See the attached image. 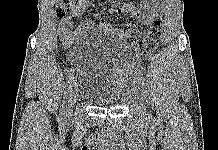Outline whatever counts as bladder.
<instances>
[{
  "instance_id": "31cf9c89",
  "label": "bladder",
  "mask_w": 218,
  "mask_h": 150,
  "mask_svg": "<svg viewBox=\"0 0 218 150\" xmlns=\"http://www.w3.org/2000/svg\"><path fill=\"white\" fill-rule=\"evenodd\" d=\"M76 65L78 90L100 107L119 105L130 93L135 75L128 69L119 43L108 33L92 31L80 41Z\"/></svg>"
}]
</instances>
